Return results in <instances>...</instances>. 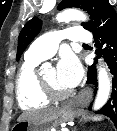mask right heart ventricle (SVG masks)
I'll return each instance as SVG.
<instances>
[{
	"label": "right heart ventricle",
	"mask_w": 117,
	"mask_h": 131,
	"mask_svg": "<svg viewBox=\"0 0 117 131\" xmlns=\"http://www.w3.org/2000/svg\"><path fill=\"white\" fill-rule=\"evenodd\" d=\"M42 60L25 58L16 78V95L19 106L24 110L39 109L48 105L36 68Z\"/></svg>",
	"instance_id": "e07e8e85"
}]
</instances>
